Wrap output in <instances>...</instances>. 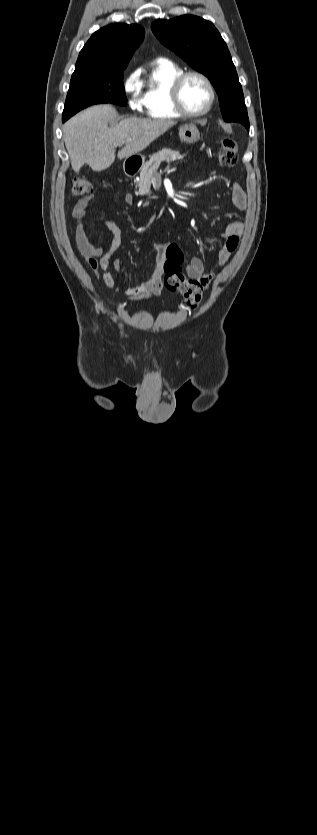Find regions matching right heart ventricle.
I'll list each match as a JSON object with an SVG mask.
<instances>
[{"instance_id":"obj_1","label":"right heart ventricle","mask_w":317,"mask_h":835,"mask_svg":"<svg viewBox=\"0 0 317 835\" xmlns=\"http://www.w3.org/2000/svg\"><path fill=\"white\" fill-rule=\"evenodd\" d=\"M182 72L180 66L167 59H158L153 63L142 94L143 106L150 118L175 119L182 116L175 109L170 94L174 79Z\"/></svg>"}]
</instances>
